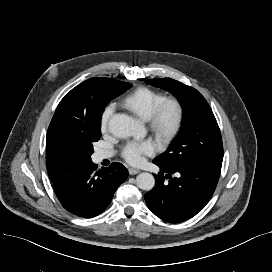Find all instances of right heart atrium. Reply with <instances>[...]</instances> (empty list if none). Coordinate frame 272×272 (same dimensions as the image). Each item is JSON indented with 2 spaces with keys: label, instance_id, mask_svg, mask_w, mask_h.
<instances>
[{
  "label": "right heart atrium",
  "instance_id": "d8ad5b80",
  "mask_svg": "<svg viewBox=\"0 0 272 272\" xmlns=\"http://www.w3.org/2000/svg\"><path fill=\"white\" fill-rule=\"evenodd\" d=\"M113 111L114 106L112 104L106 105L105 108L103 109V112L100 117V129L102 132L107 130Z\"/></svg>",
  "mask_w": 272,
  "mask_h": 272
}]
</instances>
